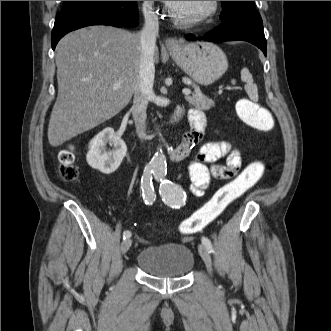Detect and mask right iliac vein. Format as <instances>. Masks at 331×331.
Segmentation results:
<instances>
[{
    "label": "right iliac vein",
    "mask_w": 331,
    "mask_h": 331,
    "mask_svg": "<svg viewBox=\"0 0 331 331\" xmlns=\"http://www.w3.org/2000/svg\"><path fill=\"white\" fill-rule=\"evenodd\" d=\"M132 241L130 238H126L121 243V253L125 254L131 247Z\"/></svg>",
    "instance_id": "1"
}]
</instances>
